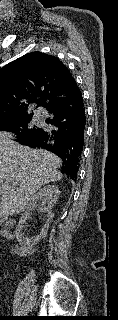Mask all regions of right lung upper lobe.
I'll list each match as a JSON object with an SVG mask.
<instances>
[{
  "label": "right lung upper lobe",
  "instance_id": "cb5924a9",
  "mask_svg": "<svg viewBox=\"0 0 118 320\" xmlns=\"http://www.w3.org/2000/svg\"><path fill=\"white\" fill-rule=\"evenodd\" d=\"M80 93L67 67L56 57L28 53L0 69V119L32 117L30 104L47 111Z\"/></svg>",
  "mask_w": 118,
  "mask_h": 320
}]
</instances>
